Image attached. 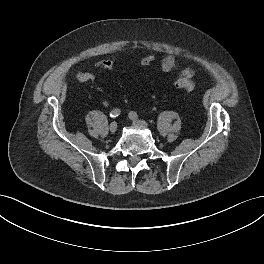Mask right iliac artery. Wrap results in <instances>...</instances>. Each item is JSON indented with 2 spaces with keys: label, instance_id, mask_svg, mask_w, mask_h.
Segmentation results:
<instances>
[{
  "label": "right iliac artery",
  "instance_id": "82829eb1",
  "mask_svg": "<svg viewBox=\"0 0 264 264\" xmlns=\"http://www.w3.org/2000/svg\"><path fill=\"white\" fill-rule=\"evenodd\" d=\"M120 109L116 108V109H113L111 112H110V117L111 118H116L120 115Z\"/></svg>",
  "mask_w": 264,
  "mask_h": 264
}]
</instances>
